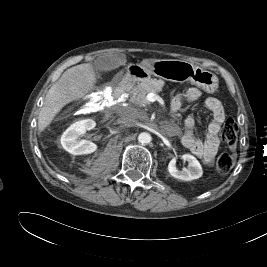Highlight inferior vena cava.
<instances>
[{"mask_svg":"<svg viewBox=\"0 0 267 267\" xmlns=\"http://www.w3.org/2000/svg\"><path fill=\"white\" fill-rule=\"evenodd\" d=\"M118 123H120L124 127H133L137 124L135 111L131 108H123L120 110V118L118 119Z\"/></svg>","mask_w":267,"mask_h":267,"instance_id":"obj_1","label":"inferior vena cava"}]
</instances>
